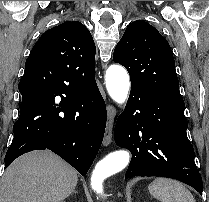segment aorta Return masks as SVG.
Instances as JSON below:
<instances>
[{
	"mask_svg": "<svg viewBox=\"0 0 209 202\" xmlns=\"http://www.w3.org/2000/svg\"><path fill=\"white\" fill-rule=\"evenodd\" d=\"M106 88L110 97L119 105H124L130 88L129 75L120 65H111L105 75ZM130 161V153L117 150L99 161L91 175V187L103 196V181L124 169Z\"/></svg>",
	"mask_w": 209,
	"mask_h": 202,
	"instance_id": "aorta-1",
	"label": "aorta"
}]
</instances>
